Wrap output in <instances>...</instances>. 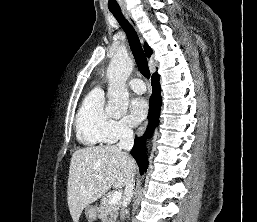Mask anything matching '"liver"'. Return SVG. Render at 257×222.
Returning <instances> with one entry per match:
<instances>
[{
  "label": "liver",
  "mask_w": 257,
  "mask_h": 222,
  "mask_svg": "<svg viewBox=\"0 0 257 222\" xmlns=\"http://www.w3.org/2000/svg\"><path fill=\"white\" fill-rule=\"evenodd\" d=\"M134 159L115 145L87 147L72 154L67 202L74 222L83 209L111 187L121 189L134 176Z\"/></svg>",
  "instance_id": "obj_1"
}]
</instances>
